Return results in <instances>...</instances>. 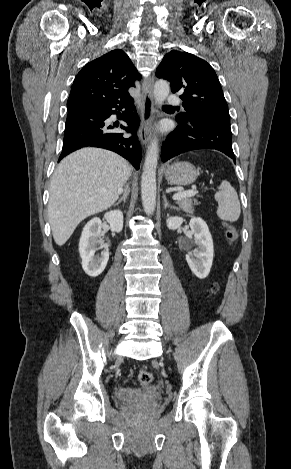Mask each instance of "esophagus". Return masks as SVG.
I'll use <instances>...</instances> for the list:
<instances>
[{"mask_svg":"<svg viewBox=\"0 0 291 469\" xmlns=\"http://www.w3.org/2000/svg\"><path fill=\"white\" fill-rule=\"evenodd\" d=\"M154 76L151 75L147 79V85L142 88V105H141V124L139 128V139L146 145L151 137V125L154 113L153 98Z\"/></svg>","mask_w":291,"mask_h":469,"instance_id":"esophagus-1","label":"esophagus"}]
</instances>
